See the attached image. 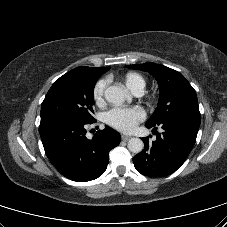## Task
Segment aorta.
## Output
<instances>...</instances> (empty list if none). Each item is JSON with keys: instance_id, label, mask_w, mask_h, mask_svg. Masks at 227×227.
I'll return each mask as SVG.
<instances>
[{"instance_id": "aorta-1", "label": "aorta", "mask_w": 227, "mask_h": 227, "mask_svg": "<svg viewBox=\"0 0 227 227\" xmlns=\"http://www.w3.org/2000/svg\"><path fill=\"white\" fill-rule=\"evenodd\" d=\"M104 97L110 103L121 104L127 99L128 93L121 87L113 85L106 88L104 91ZM143 148V141L139 138L134 137L128 141V149L133 153H140Z\"/></svg>"}]
</instances>
